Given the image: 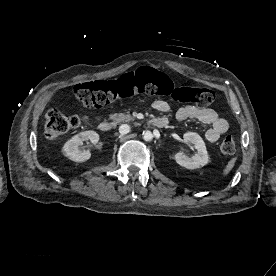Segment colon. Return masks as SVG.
<instances>
[{
	"label": "colon",
	"instance_id": "obj_1",
	"mask_svg": "<svg viewBox=\"0 0 276 276\" xmlns=\"http://www.w3.org/2000/svg\"><path fill=\"white\" fill-rule=\"evenodd\" d=\"M74 92L82 105L94 109L139 94L169 97L178 103H192L200 107L211 105L215 99V93L211 89L176 86L166 74L149 66L140 67L116 81L79 84ZM84 121L78 115H65L57 109H49L44 121L45 136L50 140L55 139L70 129L79 127ZM235 148V139L230 135L220 145L221 152L226 155L233 154Z\"/></svg>",
	"mask_w": 276,
	"mask_h": 276
}]
</instances>
